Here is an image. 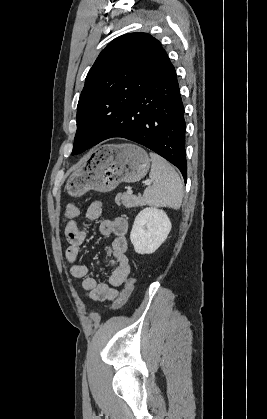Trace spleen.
<instances>
[{"label": "spleen", "mask_w": 267, "mask_h": 419, "mask_svg": "<svg viewBox=\"0 0 267 419\" xmlns=\"http://www.w3.org/2000/svg\"><path fill=\"white\" fill-rule=\"evenodd\" d=\"M152 160L149 177L152 185L143 193L145 204L154 207L179 209L183 199V184L175 169L164 158L150 152Z\"/></svg>", "instance_id": "3e777b00"}]
</instances>
